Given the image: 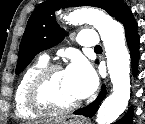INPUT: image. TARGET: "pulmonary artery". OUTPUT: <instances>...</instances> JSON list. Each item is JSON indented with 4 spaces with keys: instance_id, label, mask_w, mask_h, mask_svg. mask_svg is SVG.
I'll return each mask as SVG.
<instances>
[{
    "instance_id": "pulmonary-artery-1",
    "label": "pulmonary artery",
    "mask_w": 145,
    "mask_h": 124,
    "mask_svg": "<svg viewBox=\"0 0 145 124\" xmlns=\"http://www.w3.org/2000/svg\"><path fill=\"white\" fill-rule=\"evenodd\" d=\"M78 42L83 47H93L99 45V38L94 29H84L78 35ZM42 58L48 60L50 56L47 53L42 55Z\"/></svg>"
}]
</instances>
